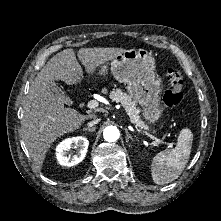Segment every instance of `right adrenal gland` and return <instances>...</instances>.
<instances>
[{"instance_id": "right-adrenal-gland-1", "label": "right adrenal gland", "mask_w": 221, "mask_h": 221, "mask_svg": "<svg viewBox=\"0 0 221 221\" xmlns=\"http://www.w3.org/2000/svg\"><path fill=\"white\" fill-rule=\"evenodd\" d=\"M95 129H96V127L94 126V127H91V128H84L83 130L84 131H89V132H94Z\"/></svg>"}]
</instances>
